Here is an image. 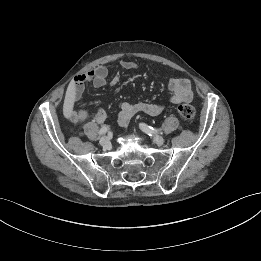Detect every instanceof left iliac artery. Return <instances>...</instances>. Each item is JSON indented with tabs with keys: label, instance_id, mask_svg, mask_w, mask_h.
Instances as JSON below:
<instances>
[{
	"label": "left iliac artery",
	"instance_id": "obj_1",
	"mask_svg": "<svg viewBox=\"0 0 261 261\" xmlns=\"http://www.w3.org/2000/svg\"><path fill=\"white\" fill-rule=\"evenodd\" d=\"M140 128H141L142 131H144L145 133H147L149 135H152V134H155V133H161L162 134V132L159 129H154L153 127L148 126L145 123H140Z\"/></svg>",
	"mask_w": 261,
	"mask_h": 261
}]
</instances>
